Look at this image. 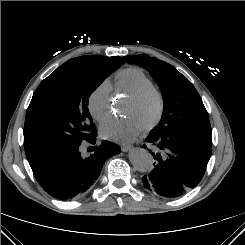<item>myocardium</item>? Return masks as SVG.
I'll use <instances>...</instances> for the list:
<instances>
[{"mask_svg":"<svg viewBox=\"0 0 245 245\" xmlns=\"http://www.w3.org/2000/svg\"><path fill=\"white\" fill-rule=\"evenodd\" d=\"M148 92H153L157 96L159 105H158V112L154 120L146 128L142 130L144 134H147L151 132L153 129H155L163 119V115L165 112V97L162 90L157 85L150 82L148 84L139 87L125 100V104L136 102L140 100Z\"/></svg>","mask_w":245,"mask_h":245,"instance_id":"obj_1","label":"myocardium"}]
</instances>
